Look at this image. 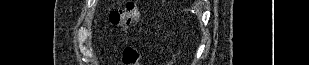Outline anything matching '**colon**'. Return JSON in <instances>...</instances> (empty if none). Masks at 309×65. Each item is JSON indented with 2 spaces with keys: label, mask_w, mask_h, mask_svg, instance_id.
Segmentation results:
<instances>
[{
  "label": "colon",
  "mask_w": 309,
  "mask_h": 65,
  "mask_svg": "<svg viewBox=\"0 0 309 65\" xmlns=\"http://www.w3.org/2000/svg\"><path fill=\"white\" fill-rule=\"evenodd\" d=\"M140 9L136 2H129L124 9L112 10L109 14V22L115 27H127L139 20ZM140 52L134 45H128L123 51V63L125 65H139Z\"/></svg>",
  "instance_id": "5ec220e1"
}]
</instances>
